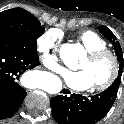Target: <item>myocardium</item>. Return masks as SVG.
Instances as JSON below:
<instances>
[{
    "label": "myocardium",
    "instance_id": "myocardium-1",
    "mask_svg": "<svg viewBox=\"0 0 124 124\" xmlns=\"http://www.w3.org/2000/svg\"><path fill=\"white\" fill-rule=\"evenodd\" d=\"M87 57L91 61H97L105 57L110 59L112 70H111L109 77L104 82L93 86L92 91L103 92L107 90L108 88H110L114 84L116 79L118 78L119 72H120V63H119V60L116 54L110 49L102 48V49L88 51Z\"/></svg>",
    "mask_w": 124,
    "mask_h": 124
}]
</instances>
